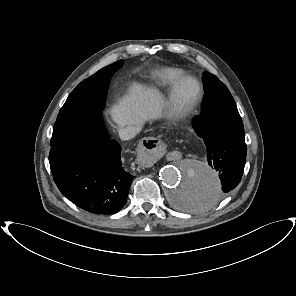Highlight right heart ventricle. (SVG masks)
Wrapping results in <instances>:
<instances>
[{
  "label": "right heart ventricle",
  "instance_id": "right-heart-ventricle-1",
  "mask_svg": "<svg viewBox=\"0 0 296 296\" xmlns=\"http://www.w3.org/2000/svg\"><path fill=\"white\" fill-rule=\"evenodd\" d=\"M185 72L178 68H164L158 72L155 78V85L164 88L168 87L184 76Z\"/></svg>",
  "mask_w": 296,
  "mask_h": 296
}]
</instances>
